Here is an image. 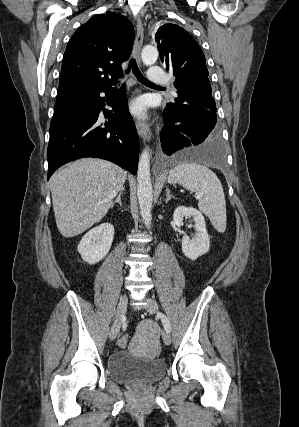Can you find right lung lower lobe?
Returning a JSON list of instances; mask_svg holds the SVG:
<instances>
[{"mask_svg":"<svg viewBox=\"0 0 299 427\" xmlns=\"http://www.w3.org/2000/svg\"><path fill=\"white\" fill-rule=\"evenodd\" d=\"M104 92L111 98L113 111L104 109L108 123H101ZM139 140L127 110L125 85L114 92L112 86L91 90L55 104L47 150V179L63 164L82 157H98L137 172Z\"/></svg>","mask_w":299,"mask_h":427,"instance_id":"98d812e1","label":"right lung lower lobe"}]
</instances>
